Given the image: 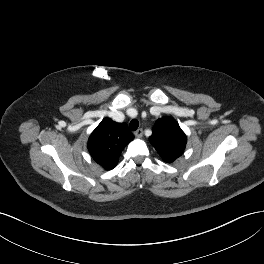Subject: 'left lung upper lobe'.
<instances>
[{
  "label": "left lung upper lobe",
  "instance_id": "1",
  "mask_svg": "<svg viewBox=\"0 0 264 264\" xmlns=\"http://www.w3.org/2000/svg\"><path fill=\"white\" fill-rule=\"evenodd\" d=\"M152 132L149 140L165 162L172 163L182 155L187 137L173 118L159 119Z\"/></svg>",
  "mask_w": 264,
  "mask_h": 264
}]
</instances>
